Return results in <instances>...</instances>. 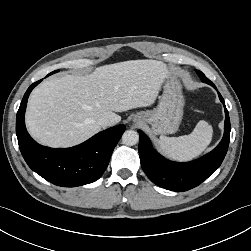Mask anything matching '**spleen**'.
Masks as SVG:
<instances>
[{"instance_id": "spleen-1", "label": "spleen", "mask_w": 251, "mask_h": 251, "mask_svg": "<svg viewBox=\"0 0 251 251\" xmlns=\"http://www.w3.org/2000/svg\"><path fill=\"white\" fill-rule=\"evenodd\" d=\"M212 136V126L201 120L189 135L180 137L161 136L159 146L169 158L177 161H189L205 151L212 141Z\"/></svg>"}]
</instances>
